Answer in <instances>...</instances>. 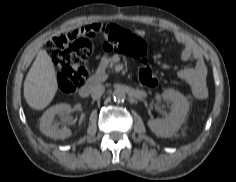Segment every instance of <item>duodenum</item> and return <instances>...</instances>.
Masks as SVG:
<instances>
[{
	"mask_svg": "<svg viewBox=\"0 0 236 182\" xmlns=\"http://www.w3.org/2000/svg\"><path fill=\"white\" fill-rule=\"evenodd\" d=\"M103 72H99L97 75L92 76L81 88L79 91V94L82 97H87L91 91L93 90V88L101 82V80L103 79Z\"/></svg>",
	"mask_w": 236,
	"mask_h": 182,
	"instance_id": "410a0bca",
	"label": "duodenum"
}]
</instances>
